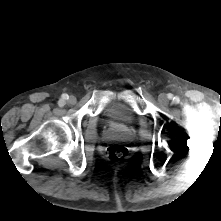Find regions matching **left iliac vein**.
Instances as JSON below:
<instances>
[{"mask_svg": "<svg viewBox=\"0 0 221 221\" xmlns=\"http://www.w3.org/2000/svg\"><path fill=\"white\" fill-rule=\"evenodd\" d=\"M158 101L161 103V104H167L169 102V99L167 97L166 94L164 93H161L159 96H158Z\"/></svg>", "mask_w": 221, "mask_h": 221, "instance_id": "1", "label": "left iliac vein"}]
</instances>
